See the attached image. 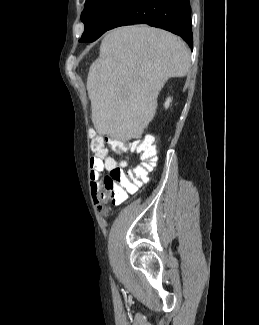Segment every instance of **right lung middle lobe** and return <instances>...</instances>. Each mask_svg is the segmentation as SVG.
Returning <instances> with one entry per match:
<instances>
[{
    "label": "right lung middle lobe",
    "mask_w": 259,
    "mask_h": 325,
    "mask_svg": "<svg viewBox=\"0 0 259 325\" xmlns=\"http://www.w3.org/2000/svg\"><path fill=\"white\" fill-rule=\"evenodd\" d=\"M128 0H86L81 20L85 25L79 42H93L106 32Z\"/></svg>",
    "instance_id": "dd1d6c3e"
}]
</instances>
